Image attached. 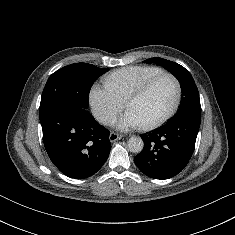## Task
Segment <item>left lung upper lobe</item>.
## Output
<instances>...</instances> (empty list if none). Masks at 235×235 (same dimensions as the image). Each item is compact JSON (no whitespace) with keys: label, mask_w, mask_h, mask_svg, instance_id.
<instances>
[{"label":"left lung upper lobe","mask_w":235,"mask_h":235,"mask_svg":"<svg viewBox=\"0 0 235 235\" xmlns=\"http://www.w3.org/2000/svg\"><path fill=\"white\" fill-rule=\"evenodd\" d=\"M145 62H155L159 65H162L180 82L182 90L181 104L178 113L171 120L186 115H195L201 117L199 92L191 74L187 69L175 62L158 57L147 59Z\"/></svg>","instance_id":"5c2ea615"}]
</instances>
